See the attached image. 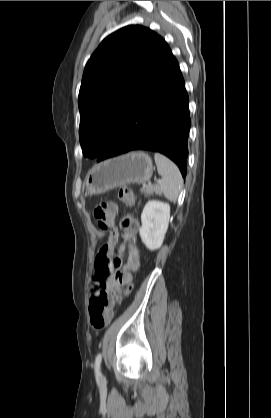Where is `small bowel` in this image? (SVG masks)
<instances>
[{"instance_id":"1","label":"small bowel","mask_w":271,"mask_h":418,"mask_svg":"<svg viewBox=\"0 0 271 418\" xmlns=\"http://www.w3.org/2000/svg\"><path fill=\"white\" fill-rule=\"evenodd\" d=\"M113 240L114 239H112V241ZM138 266H139L138 250L135 246H131L130 257H129V268L131 270H136ZM97 284L99 285L98 282ZM102 285L108 293H113L117 285H124L125 286L124 294H127L129 293L132 287V276L130 272L124 271V272L118 273L117 275L110 276L102 283Z\"/></svg>"}]
</instances>
